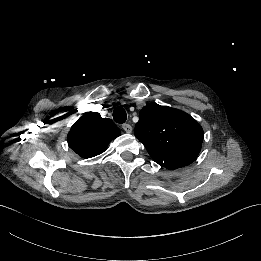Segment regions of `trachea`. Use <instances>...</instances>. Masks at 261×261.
<instances>
[{"label":"trachea","mask_w":261,"mask_h":261,"mask_svg":"<svg viewBox=\"0 0 261 261\" xmlns=\"http://www.w3.org/2000/svg\"><path fill=\"white\" fill-rule=\"evenodd\" d=\"M113 119L119 124H123L127 119L126 111L122 107H116L113 111Z\"/></svg>","instance_id":"obj_1"}]
</instances>
